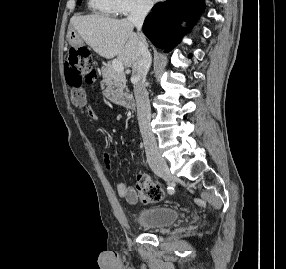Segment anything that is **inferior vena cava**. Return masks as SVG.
<instances>
[{
  "label": "inferior vena cava",
  "mask_w": 286,
  "mask_h": 269,
  "mask_svg": "<svg viewBox=\"0 0 286 269\" xmlns=\"http://www.w3.org/2000/svg\"><path fill=\"white\" fill-rule=\"evenodd\" d=\"M152 5L146 2H137L133 5L127 20L132 23L137 31H141L145 17ZM137 62L132 67V77L134 95L137 106V118L140 132L143 138L147 161L149 163L161 160V154L157 147L156 138L150 127L151 108L148 98V92L145 88L146 75L151 66V54L148 51V45L143 35H138Z\"/></svg>",
  "instance_id": "obj_1"
}]
</instances>
